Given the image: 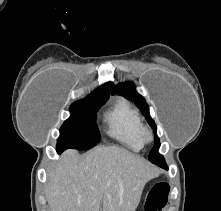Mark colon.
<instances>
[{
  "label": "colon",
  "instance_id": "1",
  "mask_svg": "<svg viewBox=\"0 0 221 211\" xmlns=\"http://www.w3.org/2000/svg\"><path fill=\"white\" fill-rule=\"evenodd\" d=\"M169 191L170 187L168 183L161 182L155 184L147 195L145 211L162 210L168 201Z\"/></svg>",
  "mask_w": 221,
  "mask_h": 211
}]
</instances>
